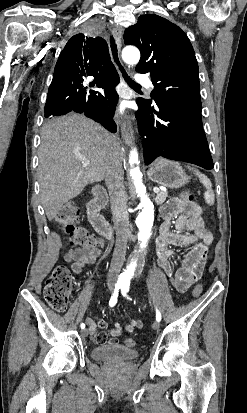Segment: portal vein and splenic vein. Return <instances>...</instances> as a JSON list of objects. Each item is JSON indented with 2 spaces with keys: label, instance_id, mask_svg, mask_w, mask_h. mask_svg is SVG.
<instances>
[{
  "label": "portal vein and splenic vein",
  "instance_id": "18ae733b",
  "mask_svg": "<svg viewBox=\"0 0 247 413\" xmlns=\"http://www.w3.org/2000/svg\"><path fill=\"white\" fill-rule=\"evenodd\" d=\"M84 164H89V160H82ZM154 192H159L160 188H153Z\"/></svg>",
  "mask_w": 247,
  "mask_h": 413
}]
</instances>
